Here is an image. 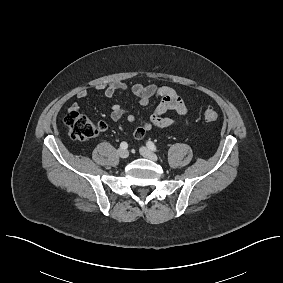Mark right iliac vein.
Listing matches in <instances>:
<instances>
[{
  "label": "right iliac vein",
  "mask_w": 283,
  "mask_h": 283,
  "mask_svg": "<svg viewBox=\"0 0 283 283\" xmlns=\"http://www.w3.org/2000/svg\"><path fill=\"white\" fill-rule=\"evenodd\" d=\"M118 155H119V157L125 159V158H127V157L129 156V152H128V150H126V149L120 148V149L118 150Z\"/></svg>",
  "instance_id": "obj_1"
}]
</instances>
